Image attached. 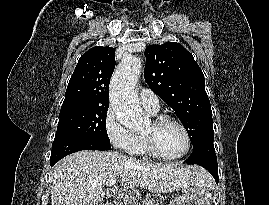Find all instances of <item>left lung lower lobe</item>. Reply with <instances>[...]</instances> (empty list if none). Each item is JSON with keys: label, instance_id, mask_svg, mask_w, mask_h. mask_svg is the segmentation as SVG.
Masks as SVG:
<instances>
[{"label": "left lung lower lobe", "instance_id": "1", "mask_svg": "<svg viewBox=\"0 0 269 205\" xmlns=\"http://www.w3.org/2000/svg\"><path fill=\"white\" fill-rule=\"evenodd\" d=\"M214 135L204 138L193 147L190 157L184 161L186 164H197L208 170L218 183V165L213 145Z\"/></svg>", "mask_w": 269, "mask_h": 205}]
</instances>
